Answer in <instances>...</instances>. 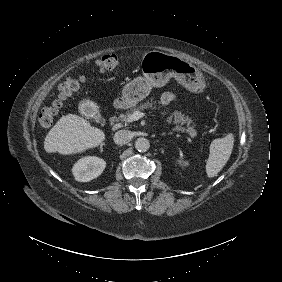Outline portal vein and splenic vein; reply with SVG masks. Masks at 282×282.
I'll return each instance as SVG.
<instances>
[{"instance_id": "portal-vein-and-splenic-vein-1", "label": "portal vein and splenic vein", "mask_w": 282, "mask_h": 282, "mask_svg": "<svg viewBox=\"0 0 282 282\" xmlns=\"http://www.w3.org/2000/svg\"><path fill=\"white\" fill-rule=\"evenodd\" d=\"M143 116V113L141 112V111H135L132 115H131V117L133 118V119H135V120H138V119H140L141 117Z\"/></svg>"}]
</instances>
